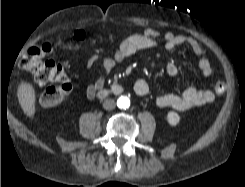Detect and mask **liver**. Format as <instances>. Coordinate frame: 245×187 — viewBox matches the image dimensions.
<instances>
[{
	"mask_svg": "<svg viewBox=\"0 0 245 187\" xmlns=\"http://www.w3.org/2000/svg\"><path fill=\"white\" fill-rule=\"evenodd\" d=\"M17 97L24 114L33 118L36 112V95L33 86L25 81H21L17 90Z\"/></svg>",
	"mask_w": 245,
	"mask_h": 187,
	"instance_id": "6515ba94",
	"label": "liver"
}]
</instances>
